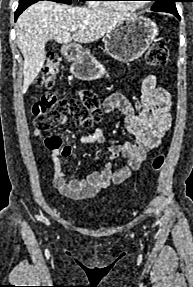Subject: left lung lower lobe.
<instances>
[{
    "instance_id": "0a47b994",
    "label": "left lung lower lobe",
    "mask_w": 193,
    "mask_h": 287,
    "mask_svg": "<svg viewBox=\"0 0 193 287\" xmlns=\"http://www.w3.org/2000/svg\"><path fill=\"white\" fill-rule=\"evenodd\" d=\"M169 13H171V14L175 15V16L180 20V16H179V14H178L177 10L170 11Z\"/></svg>"
}]
</instances>
